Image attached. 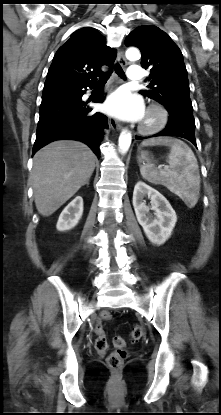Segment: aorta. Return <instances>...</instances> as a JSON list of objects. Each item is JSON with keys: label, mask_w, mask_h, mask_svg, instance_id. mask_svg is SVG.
Listing matches in <instances>:
<instances>
[{"label": "aorta", "mask_w": 221, "mask_h": 415, "mask_svg": "<svg viewBox=\"0 0 221 415\" xmlns=\"http://www.w3.org/2000/svg\"><path fill=\"white\" fill-rule=\"evenodd\" d=\"M126 58L134 61L140 58V52L135 47H130L126 51ZM132 135L127 129H124L119 136V150L122 154H125L131 145Z\"/></svg>", "instance_id": "762f6f07"}]
</instances>
